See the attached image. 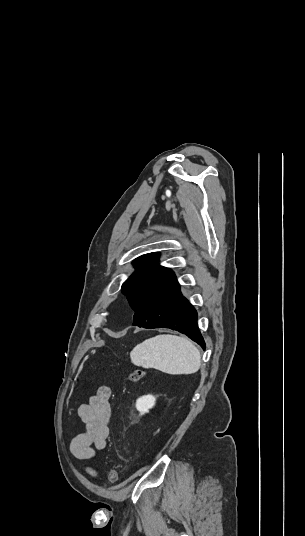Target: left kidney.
<instances>
[{
  "label": "left kidney",
  "instance_id": "1",
  "mask_svg": "<svg viewBox=\"0 0 305 536\" xmlns=\"http://www.w3.org/2000/svg\"><path fill=\"white\" fill-rule=\"evenodd\" d=\"M155 402L156 398H154V396H142V398H138L136 408L141 414H146V412H149L150 408L155 406Z\"/></svg>",
  "mask_w": 305,
  "mask_h": 536
}]
</instances>
